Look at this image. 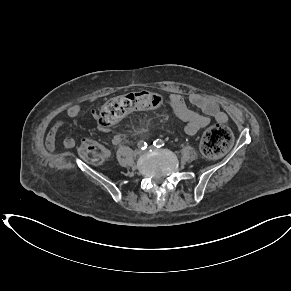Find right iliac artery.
Segmentation results:
<instances>
[{
	"mask_svg": "<svg viewBox=\"0 0 291 291\" xmlns=\"http://www.w3.org/2000/svg\"><path fill=\"white\" fill-rule=\"evenodd\" d=\"M138 148L144 150L147 148V143L144 142V141H139L138 144H137Z\"/></svg>",
	"mask_w": 291,
	"mask_h": 291,
	"instance_id": "right-iliac-artery-1",
	"label": "right iliac artery"
}]
</instances>
